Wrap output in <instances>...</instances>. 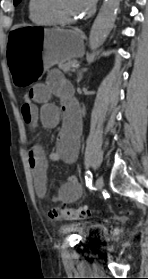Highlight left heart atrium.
I'll list each match as a JSON object with an SVG mask.
<instances>
[{
    "instance_id": "39dd6f15",
    "label": "left heart atrium",
    "mask_w": 148,
    "mask_h": 279,
    "mask_svg": "<svg viewBox=\"0 0 148 279\" xmlns=\"http://www.w3.org/2000/svg\"><path fill=\"white\" fill-rule=\"evenodd\" d=\"M96 1L97 0H78L82 14H87L92 11L96 5Z\"/></svg>"
}]
</instances>
